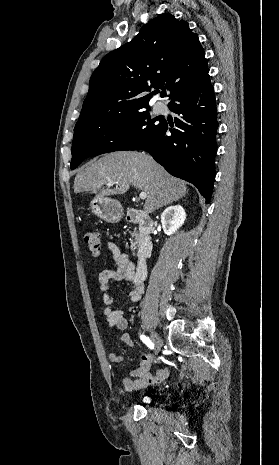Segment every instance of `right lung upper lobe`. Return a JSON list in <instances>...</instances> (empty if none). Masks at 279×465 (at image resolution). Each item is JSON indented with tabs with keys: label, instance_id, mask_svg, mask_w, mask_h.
Returning a JSON list of instances; mask_svg holds the SVG:
<instances>
[{
	"label": "right lung upper lobe",
	"instance_id": "obj_1",
	"mask_svg": "<svg viewBox=\"0 0 279 465\" xmlns=\"http://www.w3.org/2000/svg\"><path fill=\"white\" fill-rule=\"evenodd\" d=\"M204 50L186 21L161 14L130 42L107 54L90 79L77 125L148 107L155 91L173 98L209 77ZM166 91L161 93L165 96Z\"/></svg>",
	"mask_w": 279,
	"mask_h": 465
}]
</instances>
